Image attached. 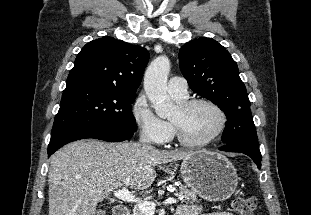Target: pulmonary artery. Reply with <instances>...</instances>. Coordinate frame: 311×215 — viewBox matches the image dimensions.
Listing matches in <instances>:
<instances>
[{
	"label": "pulmonary artery",
	"instance_id": "1",
	"mask_svg": "<svg viewBox=\"0 0 311 215\" xmlns=\"http://www.w3.org/2000/svg\"><path fill=\"white\" fill-rule=\"evenodd\" d=\"M168 92L176 97H186L188 95L187 81L179 76H173L167 84Z\"/></svg>",
	"mask_w": 311,
	"mask_h": 215
}]
</instances>
